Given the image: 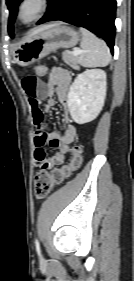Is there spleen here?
Here are the masks:
<instances>
[{
    "instance_id": "1",
    "label": "spleen",
    "mask_w": 134,
    "mask_h": 281,
    "mask_svg": "<svg viewBox=\"0 0 134 281\" xmlns=\"http://www.w3.org/2000/svg\"><path fill=\"white\" fill-rule=\"evenodd\" d=\"M82 34V53L78 57V63L83 67H104L111 60L110 50L106 43L98 39L90 31L80 28Z\"/></svg>"
}]
</instances>
